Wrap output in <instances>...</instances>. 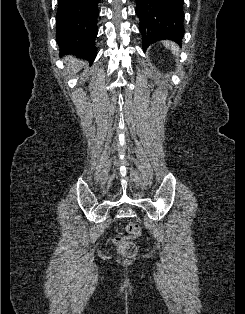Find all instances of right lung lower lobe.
I'll list each match as a JSON object with an SVG mask.
<instances>
[{"instance_id": "98d812e1", "label": "right lung lower lobe", "mask_w": 245, "mask_h": 314, "mask_svg": "<svg viewBox=\"0 0 245 314\" xmlns=\"http://www.w3.org/2000/svg\"><path fill=\"white\" fill-rule=\"evenodd\" d=\"M99 0H58L56 39L61 54H74L93 62L98 33Z\"/></svg>"}]
</instances>
